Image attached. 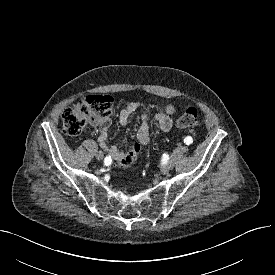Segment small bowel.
Instances as JSON below:
<instances>
[{"mask_svg":"<svg viewBox=\"0 0 275 275\" xmlns=\"http://www.w3.org/2000/svg\"><path fill=\"white\" fill-rule=\"evenodd\" d=\"M175 112V107L170 104L166 107L164 112H158L154 114L152 118H150L141 109V106L138 102H130L120 111L119 123L120 125L125 126L127 125L131 115H133L134 113L140 114L141 123L137 132V142L132 144L125 152L119 150V148H117L116 146H108L107 139L110 133V124L109 122H106L99 124V145L111 158L118 162H121L122 160L130 156L136 146L141 147V145H149L153 143V140L150 137L151 121L156 123L163 132H168L173 125V115L175 114Z\"/></svg>","mask_w":275,"mask_h":275,"instance_id":"small-bowel-1","label":"small bowel"}]
</instances>
